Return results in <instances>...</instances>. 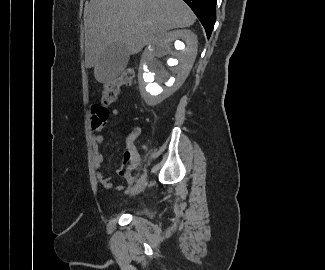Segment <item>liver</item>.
I'll use <instances>...</instances> for the list:
<instances>
[{
    "mask_svg": "<svg viewBox=\"0 0 325 270\" xmlns=\"http://www.w3.org/2000/svg\"><path fill=\"white\" fill-rule=\"evenodd\" d=\"M196 16L182 0H90L84 10L85 63L95 79L109 82L96 66L107 46L119 42L129 54L161 41L167 31L194 24Z\"/></svg>",
    "mask_w": 325,
    "mask_h": 270,
    "instance_id": "obj_1",
    "label": "liver"
}]
</instances>
